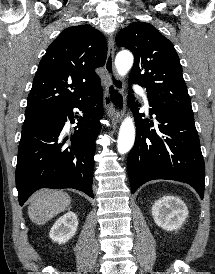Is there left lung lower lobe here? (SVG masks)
I'll return each instance as SVG.
<instances>
[{"label": "left lung lower lobe", "instance_id": "left-lung-lower-lobe-1", "mask_svg": "<svg viewBox=\"0 0 215 274\" xmlns=\"http://www.w3.org/2000/svg\"><path fill=\"white\" fill-rule=\"evenodd\" d=\"M134 99L130 90L136 122V141L127 160L131 192L150 180L167 179L190 184L203 199L205 165L192 109L148 94L149 113L156 117L144 120Z\"/></svg>", "mask_w": 215, "mask_h": 274}]
</instances>
